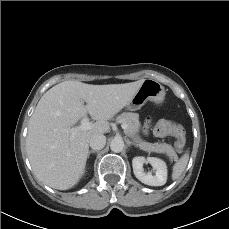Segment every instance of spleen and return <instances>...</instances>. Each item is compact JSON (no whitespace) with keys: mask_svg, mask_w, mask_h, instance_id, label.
Instances as JSON below:
<instances>
[{"mask_svg":"<svg viewBox=\"0 0 229 229\" xmlns=\"http://www.w3.org/2000/svg\"><path fill=\"white\" fill-rule=\"evenodd\" d=\"M189 160V153L188 151L179 159L176 161V163L173 166V171H172V179L176 180L178 179L182 173L184 172L187 163Z\"/></svg>","mask_w":229,"mask_h":229,"instance_id":"obj_1","label":"spleen"}]
</instances>
